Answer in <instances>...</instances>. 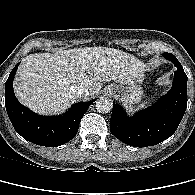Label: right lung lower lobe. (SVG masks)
Masks as SVG:
<instances>
[{
    "instance_id": "obj_1",
    "label": "right lung lower lobe",
    "mask_w": 195,
    "mask_h": 195,
    "mask_svg": "<svg viewBox=\"0 0 195 195\" xmlns=\"http://www.w3.org/2000/svg\"><path fill=\"white\" fill-rule=\"evenodd\" d=\"M18 65L5 83V106L16 132L34 144L47 147H57L73 139L83 115L95 100L76 103L63 116L37 115L21 105L14 94L13 78Z\"/></svg>"
}]
</instances>
